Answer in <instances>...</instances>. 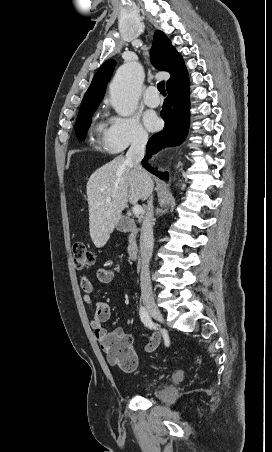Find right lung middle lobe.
I'll use <instances>...</instances> for the list:
<instances>
[{
  "label": "right lung middle lobe",
  "instance_id": "obj_1",
  "mask_svg": "<svg viewBox=\"0 0 272 452\" xmlns=\"http://www.w3.org/2000/svg\"><path fill=\"white\" fill-rule=\"evenodd\" d=\"M97 107H98V104L84 106V107L80 108V111H79V114L77 117V122L75 125V132H76L77 138L79 140L85 139L87 129L91 123V116Z\"/></svg>",
  "mask_w": 272,
  "mask_h": 452
}]
</instances>
